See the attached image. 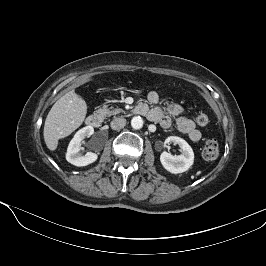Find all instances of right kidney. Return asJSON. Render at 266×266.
<instances>
[{
  "instance_id": "1",
  "label": "right kidney",
  "mask_w": 266,
  "mask_h": 266,
  "mask_svg": "<svg viewBox=\"0 0 266 266\" xmlns=\"http://www.w3.org/2000/svg\"><path fill=\"white\" fill-rule=\"evenodd\" d=\"M94 133L92 126H86L80 129L70 141L67 153L66 160L78 167L87 166L95 162L98 158V155L93 152H87L85 155L80 153L81 144L85 137H89Z\"/></svg>"
}]
</instances>
